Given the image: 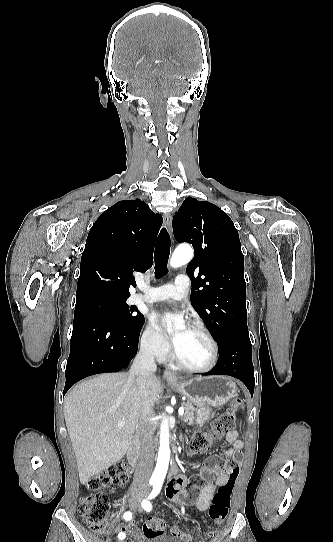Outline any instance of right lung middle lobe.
<instances>
[{
  "instance_id": "right-lung-middle-lobe-1",
  "label": "right lung middle lobe",
  "mask_w": 333,
  "mask_h": 542,
  "mask_svg": "<svg viewBox=\"0 0 333 542\" xmlns=\"http://www.w3.org/2000/svg\"><path fill=\"white\" fill-rule=\"evenodd\" d=\"M126 300L105 293H94L88 295L82 302L99 306L113 320L127 328L138 329L144 324V316L136 307L129 306Z\"/></svg>"
}]
</instances>
